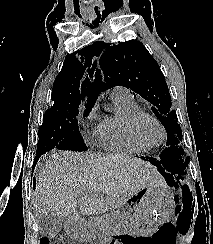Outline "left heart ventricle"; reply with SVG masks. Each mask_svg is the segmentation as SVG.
I'll return each instance as SVG.
<instances>
[{"label": "left heart ventricle", "instance_id": "left-heart-ventricle-1", "mask_svg": "<svg viewBox=\"0 0 213 244\" xmlns=\"http://www.w3.org/2000/svg\"><path fill=\"white\" fill-rule=\"evenodd\" d=\"M143 136L151 142H157L161 138L159 127L151 120H145L141 125Z\"/></svg>", "mask_w": 213, "mask_h": 244}]
</instances>
